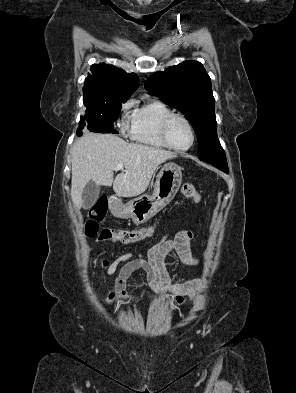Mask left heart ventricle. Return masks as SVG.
I'll use <instances>...</instances> for the list:
<instances>
[{
  "label": "left heart ventricle",
  "instance_id": "left-heart-ventricle-1",
  "mask_svg": "<svg viewBox=\"0 0 296 393\" xmlns=\"http://www.w3.org/2000/svg\"><path fill=\"white\" fill-rule=\"evenodd\" d=\"M168 136L171 143L179 148H185L191 143L190 129L181 119H174L171 122Z\"/></svg>",
  "mask_w": 296,
  "mask_h": 393
}]
</instances>
